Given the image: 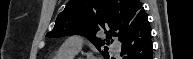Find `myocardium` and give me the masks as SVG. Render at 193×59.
I'll list each match as a JSON object with an SVG mask.
<instances>
[{"instance_id": "1", "label": "myocardium", "mask_w": 193, "mask_h": 59, "mask_svg": "<svg viewBox=\"0 0 193 59\" xmlns=\"http://www.w3.org/2000/svg\"><path fill=\"white\" fill-rule=\"evenodd\" d=\"M73 59H89V58H85V57H76V58H73Z\"/></svg>"}]
</instances>
